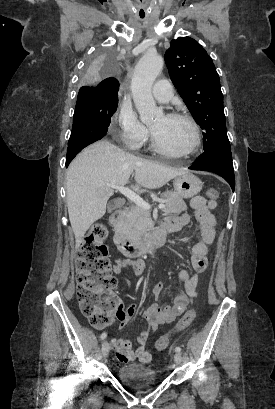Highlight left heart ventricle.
<instances>
[{"label":"left heart ventricle","instance_id":"obj_1","mask_svg":"<svg viewBox=\"0 0 275 409\" xmlns=\"http://www.w3.org/2000/svg\"><path fill=\"white\" fill-rule=\"evenodd\" d=\"M149 126L160 143L170 150L183 151L193 140L192 128L183 120H169L161 115Z\"/></svg>","mask_w":275,"mask_h":409}]
</instances>
